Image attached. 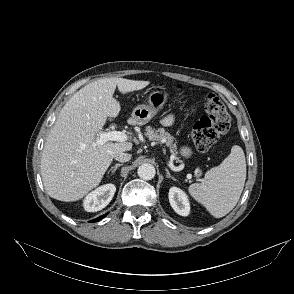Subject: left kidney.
Here are the masks:
<instances>
[{"label": "left kidney", "instance_id": "1", "mask_svg": "<svg viewBox=\"0 0 294 294\" xmlns=\"http://www.w3.org/2000/svg\"><path fill=\"white\" fill-rule=\"evenodd\" d=\"M168 196L170 205L177 214L181 216L189 215L190 204L184 191L177 187H171Z\"/></svg>", "mask_w": 294, "mask_h": 294}]
</instances>
